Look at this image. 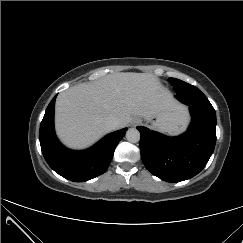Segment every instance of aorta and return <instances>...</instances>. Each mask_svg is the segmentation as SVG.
Returning <instances> with one entry per match:
<instances>
[{"mask_svg":"<svg viewBox=\"0 0 243 243\" xmlns=\"http://www.w3.org/2000/svg\"><path fill=\"white\" fill-rule=\"evenodd\" d=\"M126 139L131 143H137L140 140V132L136 128H130L126 132Z\"/></svg>","mask_w":243,"mask_h":243,"instance_id":"1","label":"aorta"}]
</instances>
